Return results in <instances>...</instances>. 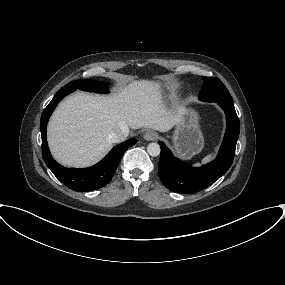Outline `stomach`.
Returning <instances> with one entry per match:
<instances>
[{
	"mask_svg": "<svg viewBox=\"0 0 285 285\" xmlns=\"http://www.w3.org/2000/svg\"><path fill=\"white\" fill-rule=\"evenodd\" d=\"M172 140L178 156L183 159H190L202 151L204 138L199 126V115L195 110L181 109Z\"/></svg>",
	"mask_w": 285,
	"mask_h": 285,
	"instance_id": "1",
	"label": "stomach"
}]
</instances>
